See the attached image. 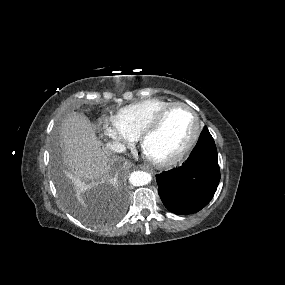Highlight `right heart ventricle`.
<instances>
[{
    "mask_svg": "<svg viewBox=\"0 0 285 285\" xmlns=\"http://www.w3.org/2000/svg\"><path fill=\"white\" fill-rule=\"evenodd\" d=\"M172 103L161 98H149L121 108L116 116L127 129L138 136L150 120Z\"/></svg>",
    "mask_w": 285,
    "mask_h": 285,
    "instance_id": "1",
    "label": "right heart ventricle"
}]
</instances>
